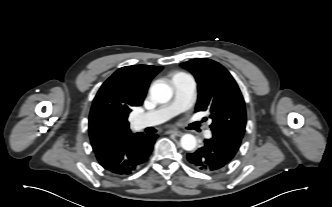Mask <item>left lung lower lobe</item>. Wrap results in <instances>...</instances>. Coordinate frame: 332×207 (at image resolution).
<instances>
[{"mask_svg":"<svg viewBox=\"0 0 332 207\" xmlns=\"http://www.w3.org/2000/svg\"><path fill=\"white\" fill-rule=\"evenodd\" d=\"M204 146L187 154L188 161L202 172H217L226 167L237 153L241 140L226 134L212 133Z\"/></svg>","mask_w":332,"mask_h":207,"instance_id":"1","label":"left lung lower lobe"}]
</instances>
